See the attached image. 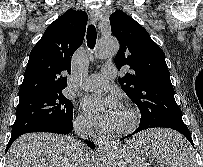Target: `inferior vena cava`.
I'll return each instance as SVG.
<instances>
[{"instance_id":"602c4592","label":"inferior vena cava","mask_w":203,"mask_h":167,"mask_svg":"<svg viewBox=\"0 0 203 167\" xmlns=\"http://www.w3.org/2000/svg\"><path fill=\"white\" fill-rule=\"evenodd\" d=\"M74 130L75 134L80 138H90L93 135V131L91 129V125L86 120H77L74 122ZM76 145L78 147L79 156L83 157L85 152V148L81 144L80 141H76ZM83 160V159H82Z\"/></svg>"}]
</instances>
